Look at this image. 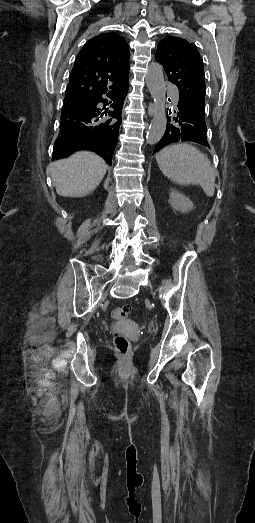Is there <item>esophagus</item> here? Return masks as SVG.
Masks as SVG:
<instances>
[{
	"label": "esophagus",
	"instance_id": "obj_1",
	"mask_svg": "<svg viewBox=\"0 0 255 523\" xmlns=\"http://www.w3.org/2000/svg\"><path fill=\"white\" fill-rule=\"evenodd\" d=\"M148 113H149V115H154V113H155V105H154V103H150L149 104Z\"/></svg>",
	"mask_w": 255,
	"mask_h": 523
}]
</instances>
